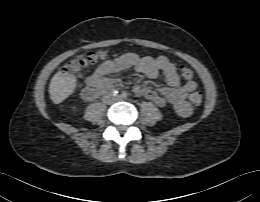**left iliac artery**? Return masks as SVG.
Returning a JSON list of instances; mask_svg holds the SVG:
<instances>
[{"instance_id":"obj_1","label":"left iliac artery","mask_w":260,"mask_h":202,"mask_svg":"<svg viewBox=\"0 0 260 202\" xmlns=\"http://www.w3.org/2000/svg\"><path fill=\"white\" fill-rule=\"evenodd\" d=\"M122 97H123V98H126V97H128V93H127V92H125V91H124V92H122Z\"/></svg>"}]
</instances>
